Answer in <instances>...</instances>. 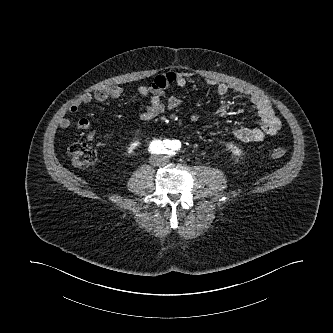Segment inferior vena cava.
I'll return each mask as SVG.
<instances>
[{
  "label": "inferior vena cava",
  "mask_w": 333,
  "mask_h": 333,
  "mask_svg": "<svg viewBox=\"0 0 333 333\" xmlns=\"http://www.w3.org/2000/svg\"><path fill=\"white\" fill-rule=\"evenodd\" d=\"M158 156L157 155H152L151 158H150V163L153 165V166H156L158 164Z\"/></svg>",
  "instance_id": "obj_1"
}]
</instances>
